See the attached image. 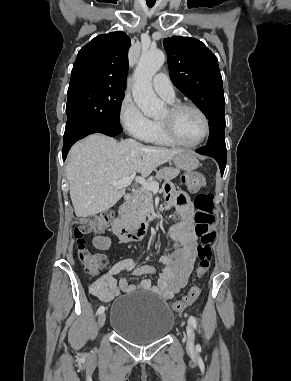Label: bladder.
Instances as JSON below:
<instances>
[{"instance_id": "obj_1", "label": "bladder", "mask_w": 291, "mask_h": 381, "mask_svg": "<svg viewBox=\"0 0 291 381\" xmlns=\"http://www.w3.org/2000/svg\"><path fill=\"white\" fill-rule=\"evenodd\" d=\"M174 314L161 298L130 292L111 305L110 328L124 339L147 344L163 339L172 330Z\"/></svg>"}]
</instances>
